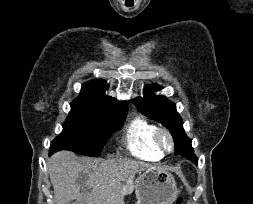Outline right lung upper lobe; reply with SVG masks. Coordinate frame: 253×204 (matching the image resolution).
Instances as JSON below:
<instances>
[{
	"label": "right lung upper lobe",
	"mask_w": 253,
	"mask_h": 204,
	"mask_svg": "<svg viewBox=\"0 0 253 204\" xmlns=\"http://www.w3.org/2000/svg\"><path fill=\"white\" fill-rule=\"evenodd\" d=\"M107 88L105 80L88 81L82 85L81 93L74 101L100 108L112 116L127 114V102H115L114 99L105 94Z\"/></svg>",
	"instance_id": "right-lung-upper-lobe-1"
}]
</instances>
